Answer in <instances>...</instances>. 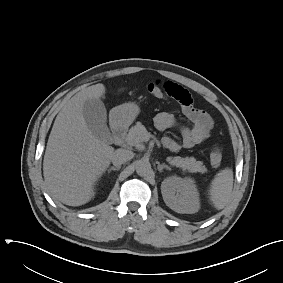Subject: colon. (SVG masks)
I'll return each instance as SVG.
<instances>
[{"label": "colon", "mask_w": 283, "mask_h": 283, "mask_svg": "<svg viewBox=\"0 0 283 283\" xmlns=\"http://www.w3.org/2000/svg\"><path fill=\"white\" fill-rule=\"evenodd\" d=\"M148 91L151 95L157 98L164 97V90L159 82H153L148 85ZM210 162L213 167L220 166L222 162V149L218 144H215L210 153Z\"/></svg>", "instance_id": "1"}]
</instances>
